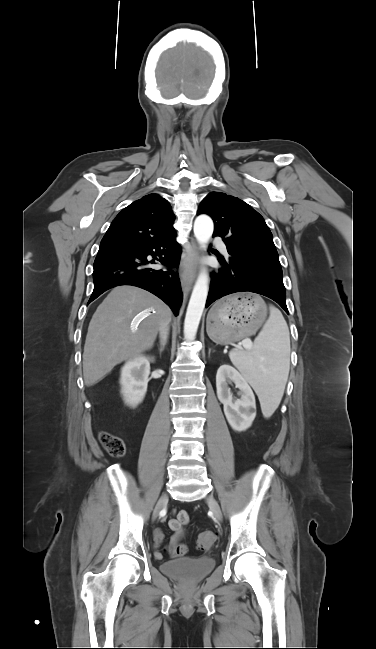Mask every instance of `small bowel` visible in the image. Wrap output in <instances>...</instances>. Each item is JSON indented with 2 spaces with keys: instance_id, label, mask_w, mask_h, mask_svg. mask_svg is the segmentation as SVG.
I'll list each match as a JSON object with an SVG mask.
<instances>
[{
  "instance_id": "obj_1",
  "label": "small bowel",
  "mask_w": 376,
  "mask_h": 649,
  "mask_svg": "<svg viewBox=\"0 0 376 649\" xmlns=\"http://www.w3.org/2000/svg\"><path fill=\"white\" fill-rule=\"evenodd\" d=\"M188 523L189 515L184 510L174 511L173 516L168 521L169 528L175 532V535L172 537L169 546L170 554L174 557L182 556L185 553V547L180 545V541L184 536L183 526L187 525ZM163 538V532L160 529H157L154 534V539L157 546L162 543ZM155 556L158 559L162 558V554L158 551L155 553Z\"/></svg>"
}]
</instances>
